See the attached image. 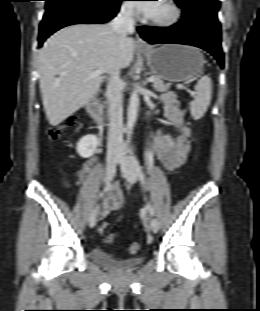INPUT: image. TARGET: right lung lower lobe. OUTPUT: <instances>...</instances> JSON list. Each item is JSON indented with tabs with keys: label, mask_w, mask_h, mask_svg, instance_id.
<instances>
[{
	"label": "right lung lower lobe",
	"mask_w": 260,
	"mask_h": 311,
	"mask_svg": "<svg viewBox=\"0 0 260 311\" xmlns=\"http://www.w3.org/2000/svg\"><path fill=\"white\" fill-rule=\"evenodd\" d=\"M39 46L52 33L68 25L106 23L116 16L122 0H45Z\"/></svg>",
	"instance_id": "98d812e1"
}]
</instances>
